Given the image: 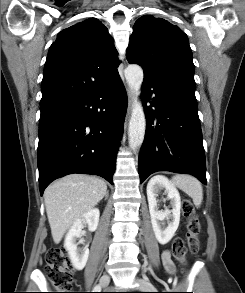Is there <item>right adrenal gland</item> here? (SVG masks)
<instances>
[{"label":"right adrenal gland","instance_id":"right-adrenal-gland-1","mask_svg":"<svg viewBox=\"0 0 245 293\" xmlns=\"http://www.w3.org/2000/svg\"><path fill=\"white\" fill-rule=\"evenodd\" d=\"M105 199H108V192H107L106 195H105Z\"/></svg>","mask_w":245,"mask_h":293}]
</instances>
